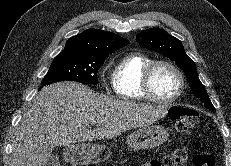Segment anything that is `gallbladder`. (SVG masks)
<instances>
[{"label":"gallbladder","instance_id":"bac80fb5","mask_svg":"<svg viewBox=\"0 0 231 166\" xmlns=\"http://www.w3.org/2000/svg\"><path fill=\"white\" fill-rule=\"evenodd\" d=\"M45 166H59V159L57 156H52Z\"/></svg>","mask_w":231,"mask_h":166}]
</instances>
